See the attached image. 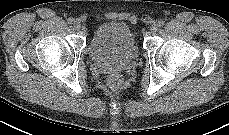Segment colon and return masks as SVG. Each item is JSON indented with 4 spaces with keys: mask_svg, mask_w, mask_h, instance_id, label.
Returning a JSON list of instances; mask_svg holds the SVG:
<instances>
[{
    "mask_svg": "<svg viewBox=\"0 0 229 135\" xmlns=\"http://www.w3.org/2000/svg\"><path fill=\"white\" fill-rule=\"evenodd\" d=\"M107 83L111 89L118 90L122 85V78L118 74H111L107 79Z\"/></svg>",
    "mask_w": 229,
    "mask_h": 135,
    "instance_id": "1",
    "label": "colon"
}]
</instances>
